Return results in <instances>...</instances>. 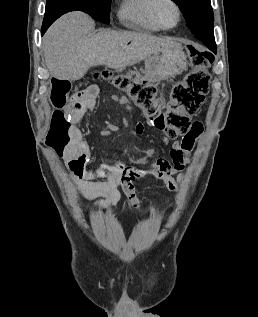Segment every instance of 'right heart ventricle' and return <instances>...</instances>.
Segmentation results:
<instances>
[{
  "instance_id": "right-heart-ventricle-1",
  "label": "right heart ventricle",
  "mask_w": 258,
  "mask_h": 317,
  "mask_svg": "<svg viewBox=\"0 0 258 317\" xmlns=\"http://www.w3.org/2000/svg\"><path fill=\"white\" fill-rule=\"evenodd\" d=\"M156 0H124L118 10L119 21L127 26L146 33H156L160 28L152 17Z\"/></svg>"
}]
</instances>
